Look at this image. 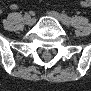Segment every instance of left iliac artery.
Segmentation results:
<instances>
[{"label": "left iliac artery", "instance_id": "left-iliac-artery-1", "mask_svg": "<svg viewBox=\"0 0 91 91\" xmlns=\"http://www.w3.org/2000/svg\"><path fill=\"white\" fill-rule=\"evenodd\" d=\"M62 17H63L66 24L70 23V18L66 14H62Z\"/></svg>", "mask_w": 91, "mask_h": 91}]
</instances>
